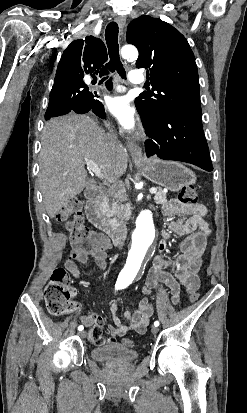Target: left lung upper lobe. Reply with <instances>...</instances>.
<instances>
[{
	"mask_svg": "<svg viewBox=\"0 0 247 413\" xmlns=\"http://www.w3.org/2000/svg\"><path fill=\"white\" fill-rule=\"evenodd\" d=\"M126 38L139 50L136 67L147 69L151 80L153 91L135 100L143 123L152 124L168 112L201 118L197 65L187 39L170 24L150 16L133 20Z\"/></svg>",
	"mask_w": 247,
	"mask_h": 413,
	"instance_id": "left-lung-upper-lobe-1",
	"label": "left lung upper lobe"
}]
</instances>
